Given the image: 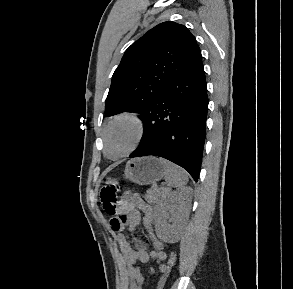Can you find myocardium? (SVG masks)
Masks as SVG:
<instances>
[{
  "mask_svg": "<svg viewBox=\"0 0 293 289\" xmlns=\"http://www.w3.org/2000/svg\"><path fill=\"white\" fill-rule=\"evenodd\" d=\"M120 121H127L134 127V139L128 149L118 156H110L107 152V138L111 127ZM146 133V123L143 116L137 111H125L114 116L105 126L103 131V151L107 158L112 160H118L131 154L142 142Z\"/></svg>",
  "mask_w": 293,
  "mask_h": 289,
  "instance_id": "1",
  "label": "myocardium"
}]
</instances>
